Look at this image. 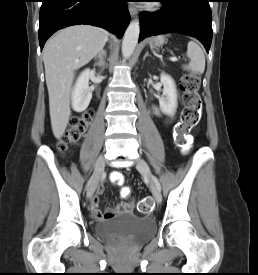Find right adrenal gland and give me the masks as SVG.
<instances>
[{
  "mask_svg": "<svg viewBox=\"0 0 258 275\" xmlns=\"http://www.w3.org/2000/svg\"><path fill=\"white\" fill-rule=\"evenodd\" d=\"M106 51L102 50L98 56L95 57L96 63L95 66H101L105 64Z\"/></svg>",
  "mask_w": 258,
  "mask_h": 275,
  "instance_id": "right-adrenal-gland-1",
  "label": "right adrenal gland"
}]
</instances>
